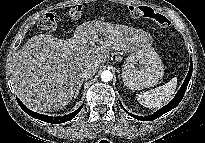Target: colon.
I'll return each instance as SVG.
<instances>
[{
	"label": "colon",
	"mask_w": 205,
	"mask_h": 143,
	"mask_svg": "<svg viewBox=\"0 0 205 143\" xmlns=\"http://www.w3.org/2000/svg\"><path fill=\"white\" fill-rule=\"evenodd\" d=\"M82 6L73 5L66 12L67 17L72 20H78L82 15ZM128 12L133 18L149 19L157 23L161 27H169L171 22L169 19L161 13L155 12L148 6L131 5L128 7ZM39 26L42 30L53 31L56 29L57 21L56 16L53 13H46L39 22Z\"/></svg>",
	"instance_id": "5ec220e1"
}]
</instances>
